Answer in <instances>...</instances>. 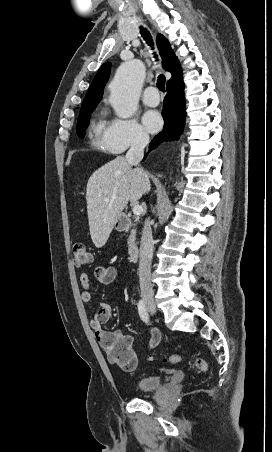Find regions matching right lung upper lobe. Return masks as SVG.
Here are the masks:
<instances>
[{
  "label": "right lung upper lobe",
  "instance_id": "1",
  "mask_svg": "<svg viewBox=\"0 0 272 452\" xmlns=\"http://www.w3.org/2000/svg\"><path fill=\"white\" fill-rule=\"evenodd\" d=\"M157 46L162 58V66L166 71L172 74V77L167 82V86L182 80V71L179 65V61L175 56L168 40L161 34L156 39ZM110 64L105 63L98 70L94 77L91 86L89 87L86 96L83 100L82 106L90 104H98L102 98L104 86L109 78Z\"/></svg>",
  "mask_w": 272,
  "mask_h": 452
}]
</instances>
